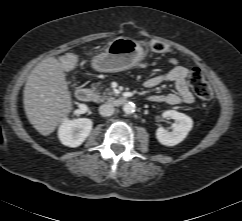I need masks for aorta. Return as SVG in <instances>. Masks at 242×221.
I'll use <instances>...</instances> for the list:
<instances>
[{"mask_svg":"<svg viewBox=\"0 0 242 221\" xmlns=\"http://www.w3.org/2000/svg\"><path fill=\"white\" fill-rule=\"evenodd\" d=\"M123 111L126 114H132L135 112V104L132 102H127L123 106Z\"/></svg>","mask_w":242,"mask_h":221,"instance_id":"obj_1","label":"aorta"}]
</instances>
